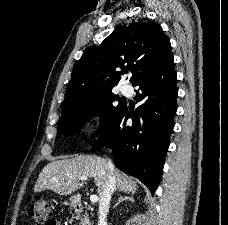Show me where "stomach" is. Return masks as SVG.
Returning a JSON list of instances; mask_svg holds the SVG:
<instances>
[{
    "instance_id": "stomach-1",
    "label": "stomach",
    "mask_w": 228,
    "mask_h": 225,
    "mask_svg": "<svg viewBox=\"0 0 228 225\" xmlns=\"http://www.w3.org/2000/svg\"><path fill=\"white\" fill-rule=\"evenodd\" d=\"M69 201H70L71 207H74V205H75V203L77 201V197H70Z\"/></svg>"
}]
</instances>
